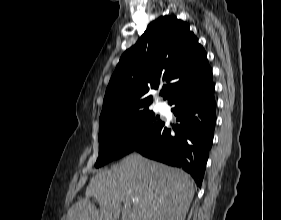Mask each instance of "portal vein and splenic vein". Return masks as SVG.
<instances>
[{"instance_id": "obj_1", "label": "portal vein and splenic vein", "mask_w": 281, "mask_h": 220, "mask_svg": "<svg viewBox=\"0 0 281 220\" xmlns=\"http://www.w3.org/2000/svg\"><path fill=\"white\" fill-rule=\"evenodd\" d=\"M135 201H136V199H135V198H133V199H132V202H135Z\"/></svg>"}]
</instances>
